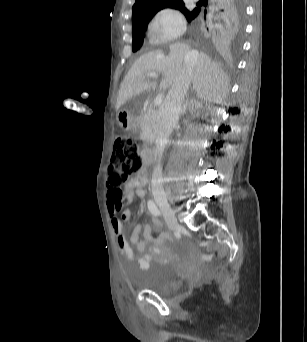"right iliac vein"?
Masks as SVG:
<instances>
[{"label": "right iliac vein", "mask_w": 307, "mask_h": 342, "mask_svg": "<svg viewBox=\"0 0 307 342\" xmlns=\"http://www.w3.org/2000/svg\"><path fill=\"white\" fill-rule=\"evenodd\" d=\"M156 203L159 206L169 229L173 232L180 227L178 220L176 218L175 212L171 208L169 202L166 197L159 196L156 198Z\"/></svg>", "instance_id": "1"}]
</instances>
